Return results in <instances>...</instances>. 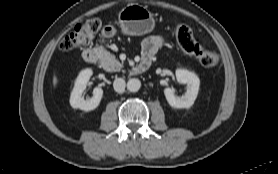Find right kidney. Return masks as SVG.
<instances>
[{
  "label": "right kidney",
  "instance_id": "right-kidney-1",
  "mask_svg": "<svg viewBox=\"0 0 278 174\" xmlns=\"http://www.w3.org/2000/svg\"><path fill=\"white\" fill-rule=\"evenodd\" d=\"M92 73V70L89 68L84 69L79 73L70 96V105L73 108H79L84 111H91L99 105L103 96V90L101 88L96 87L93 89L92 98L84 99L83 97V92L86 89L87 83Z\"/></svg>",
  "mask_w": 278,
  "mask_h": 174
}]
</instances>
